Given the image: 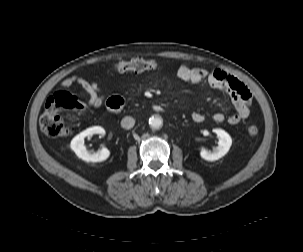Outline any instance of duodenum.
<instances>
[{"label": "duodenum", "instance_id": "duodenum-1", "mask_svg": "<svg viewBox=\"0 0 303 252\" xmlns=\"http://www.w3.org/2000/svg\"><path fill=\"white\" fill-rule=\"evenodd\" d=\"M124 107V100L122 98H117L115 101L109 106V112L115 113L121 111ZM152 109L154 111L160 112L163 110V106L160 104L152 105Z\"/></svg>", "mask_w": 303, "mask_h": 252}]
</instances>
